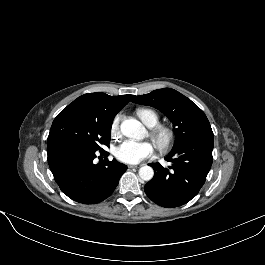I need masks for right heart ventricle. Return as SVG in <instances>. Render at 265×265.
I'll list each match as a JSON object with an SVG mask.
<instances>
[{
	"instance_id": "right-heart-ventricle-1",
	"label": "right heart ventricle",
	"mask_w": 265,
	"mask_h": 265,
	"mask_svg": "<svg viewBox=\"0 0 265 265\" xmlns=\"http://www.w3.org/2000/svg\"><path fill=\"white\" fill-rule=\"evenodd\" d=\"M136 113L141 121L150 128H153L159 124V115L152 109L138 108Z\"/></svg>"
}]
</instances>
